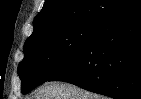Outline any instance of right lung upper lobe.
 I'll use <instances>...</instances> for the list:
<instances>
[{
	"instance_id": "obj_1",
	"label": "right lung upper lobe",
	"mask_w": 141,
	"mask_h": 99,
	"mask_svg": "<svg viewBox=\"0 0 141 99\" xmlns=\"http://www.w3.org/2000/svg\"><path fill=\"white\" fill-rule=\"evenodd\" d=\"M135 0H46L34 19L31 40L47 32L83 21H101Z\"/></svg>"
}]
</instances>
